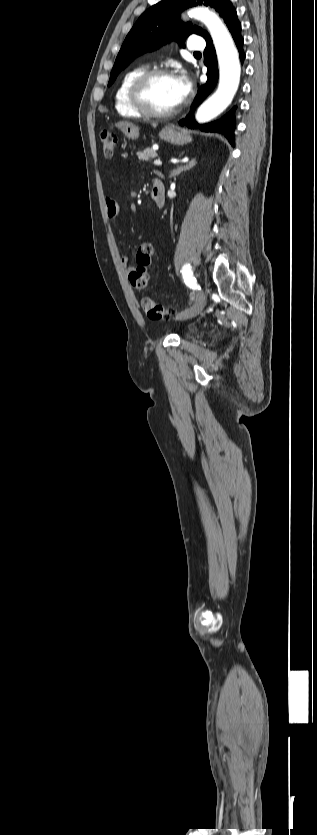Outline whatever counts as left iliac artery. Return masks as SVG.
<instances>
[{"instance_id": "obj_1", "label": "left iliac artery", "mask_w": 317, "mask_h": 835, "mask_svg": "<svg viewBox=\"0 0 317 835\" xmlns=\"http://www.w3.org/2000/svg\"><path fill=\"white\" fill-rule=\"evenodd\" d=\"M184 282L187 286L194 290H201V287L197 284L195 277L193 276L191 267L189 264H185L181 270Z\"/></svg>"}]
</instances>
